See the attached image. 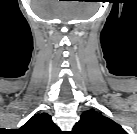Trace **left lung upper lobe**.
I'll use <instances>...</instances> for the list:
<instances>
[{"label": "left lung upper lobe", "mask_w": 137, "mask_h": 134, "mask_svg": "<svg viewBox=\"0 0 137 134\" xmlns=\"http://www.w3.org/2000/svg\"><path fill=\"white\" fill-rule=\"evenodd\" d=\"M73 134H127L110 118L94 109L84 112L73 127Z\"/></svg>", "instance_id": "5c2ea615"}]
</instances>
